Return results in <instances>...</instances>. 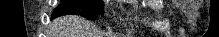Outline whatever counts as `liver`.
Masks as SVG:
<instances>
[{
  "instance_id": "obj_1",
  "label": "liver",
  "mask_w": 219,
  "mask_h": 37,
  "mask_svg": "<svg viewBox=\"0 0 219 37\" xmlns=\"http://www.w3.org/2000/svg\"><path fill=\"white\" fill-rule=\"evenodd\" d=\"M54 35L60 37H96L92 26L78 16L59 17L53 22Z\"/></svg>"
}]
</instances>
